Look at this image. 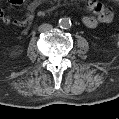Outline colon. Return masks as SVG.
Instances as JSON below:
<instances>
[{
  "instance_id": "obj_1",
  "label": "colon",
  "mask_w": 119,
  "mask_h": 119,
  "mask_svg": "<svg viewBox=\"0 0 119 119\" xmlns=\"http://www.w3.org/2000/svg\"><path fill=\"white\" fill-rule=\"evenodd\" d=\"M99 8V6H95V9H98Z\"/></svg>"
}]
</instances>
